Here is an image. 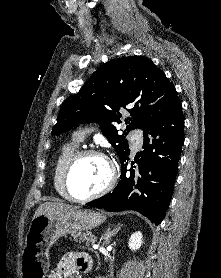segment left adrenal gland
Returning a JSON list of instances; mask_svg holds the SVG:
<instances>
[{
    "label": "left adrenal gland",
    "mask_w": 221,
    "mask_h": 278,
    "mask_svg": "<svg viewBox=\"0 0 221 278\" xmlns=\"http://www.w3.org/2000/svg\"><path fill=\"white\" fill-rule=\"evenodd\" d=\"M121 226H122V225H120V226L114 228L113 230H111V228L109 227V228L105 231L104 240H105V243H106V244H109V243H110L111 237L117 234V232L121 229Z\"/></svg>",
    "instance_id": "obj_1"
}]
</instances>
